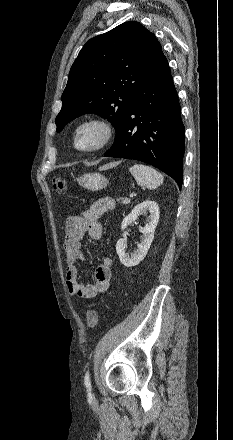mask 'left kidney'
I'll use <instances>...</instances> for the list:
<instances>
[{"instance_id":"5707ae66","label":"left kidney","mask_w":233,"mask_h":440,"mask_svg":"<svg viewBox=\"0 0 233 440\" xmlns=\"http://www.w3.org/2000/svg\"><path fill=\"white\" fill-rule=\"evenodd\" d=\"M150 212V216L147 219V223L144 227H139V231L143 234L141 236L140 243L137 244V249L128 255L125 252V240L119 239L116 244V251L119 256L120 262L126 267H132L138 265L146 256L151 243L154 239L155 228L159 221V206L155 201H144L136 205L131 213L127 215L122 223L121 229H126L132 222H134L138 216Z\"/></svg>"}]
</instances>
